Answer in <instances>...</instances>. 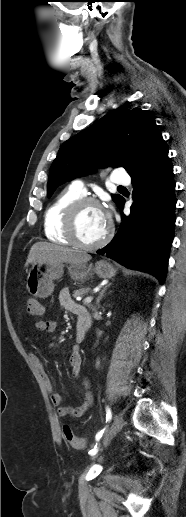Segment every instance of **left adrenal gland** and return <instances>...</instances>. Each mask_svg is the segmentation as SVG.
<instances>
[{"label": "left adrenal gland", "instance_id": "left-adrenal-gland-1", "mask_svg": "<svg viewBox=\"0 0 186 517\" xmlns=\"http://www.w3.org/2000/svg\"><path fill=\"white\" fill-rule=\"evenodd\" d=\"M110 285H111V283H109L107 286H105L103 288V290L100 292L99 296L97 297V305H99L101 299L104 297V293H105L107 287H109Z\"/></svg>", "mask_w": 186, "mask_h": 517}]
</instances>
